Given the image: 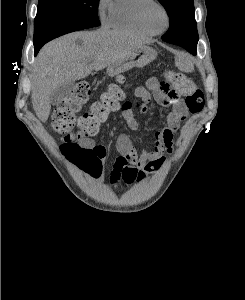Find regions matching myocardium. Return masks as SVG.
I'll return each instance as SVG.
<instances>
[{
	"instance_id": "f54148a6",
	"label": "myocardium",
	"mask_w": 245,
	"mask_h": 300,
	"mask_svg": "<svg viewBox=\"0 0 245 300\" xmlns=\"http://www.w3.org/2000/svg\"><path fill=\"white\" fill-rule=\"evenodd\" d=\"M156 7L158 8L164 16V25L161 28L155 29L151 27L147 19V12L149 8ZM138 21L140 25L150 34H159L165 31L170 25V15L167 9L157 0H143L140 4L137 12Z\"/></svg>"
}]
</instances>
